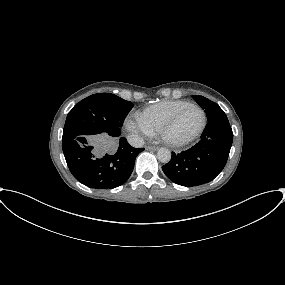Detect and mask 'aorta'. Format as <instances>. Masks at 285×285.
Segmentation results:
<instances>
[{
    "label": "aorta",
    "instance_id": "762f6f07",
    "mask_svg": "<svg viewBox=\"0 0 285 285\" xmlns=\"http://www.w3.org/2000/svg\"><path fill=\"white\" fill-rule=\"evenodd\" d=\"M157 158L162 163H168L171 160V152L166 148H160L157 151Z\"/></svg>",
    "mask_w": 285,
    "mask_h": 285
}]
</instances>
